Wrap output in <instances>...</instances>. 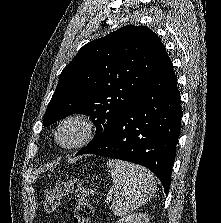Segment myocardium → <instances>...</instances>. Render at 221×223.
Here are the masks:
<instances>
[{
	"mask_svg": "<svg viewBox=\"0 0 221 223\" xmlns=\"http://www.w3.org/2000/svg\"><path fill=\"white\" fill-rule=\"evenodd\" d=\"M69 124H74L79 127V136L71 142H61L59 140V133L65 126ZM98 132L99 126L91 115L85 112H72L65 115L58 121L53 131V139L55 144L60 148L76 149L89 144L92 140H94Z\"/></svg>",
	"mask_w": 221,
	"mask_h": 223,
	"instance_id": "f54148a6",
	"label": "myocardium"
}]
</instances>
